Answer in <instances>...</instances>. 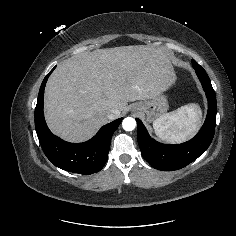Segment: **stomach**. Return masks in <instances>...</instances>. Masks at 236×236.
I'll return each mask as SVG.
<instances>
[{"instance_id": "stomach-1", "label": "stomach", "mask_w": 236, "mask_h": 236, "mask_svg": "<svg viewBox=\"0 0 236 236\" xmlns=\"http://www.w3.org/2000/svg\"><path fill=\"white\" fill-rule=\"evenodd\" d=\"M168 107L167 97L161 93L150 100L135 103L132 106V109L145 114L147 121L150 122L164 115L167 112Z\"/></svg>"}]
</instances>
